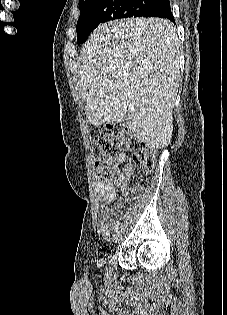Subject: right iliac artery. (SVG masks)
I'll list each match as a JSON object with an SVG mask.
<instances>
[{"label":"right iliac artery","mask_w":227,"mask_h":315,"mask_svg":"<svg viewBox=\"0 0 227 315\" xmlns=\"http://www.w3.org/2000/svg\"><path fill=\"white\" fill-rule=\"evenodd\" d=\"M120 223L116 222L115 226H114V230L117 231L119 229Z\"/></svg>","instance_id":"right-iliac-artery-1"}]
</instances>
